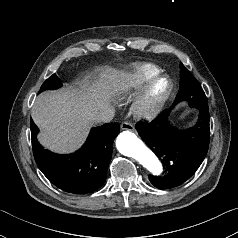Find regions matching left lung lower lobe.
Segmentation results:
<instances>
[{
  "label": "left lung lower lobe",
  "instance_id": "obj_1",
  "mask_svg": "<svg viewBox=\"0 0 238 238\" xmlns=\"http://www.w3.org/2000/svg\"><path fill=\"white\" fill-rule=\"evenodd\" d=\"M180 101H175L173 108ZM199 110L198 122L186 131H178L168 123L167 113L149 123L136 125L146 145L161 160L162 176L150 175V182L157 188H174L187 181L203 162L209 147L210 127L208 104H190Z\"/></svg>",
  "mask_w": 238,
  "mask_h": 238
}]
</instances>
